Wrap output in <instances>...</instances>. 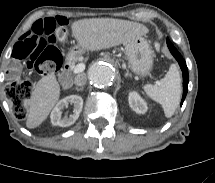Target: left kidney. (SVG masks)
<instances>
[{
    "label": "left kidney",
    "mask_w": 215,
    "mask_h": 183,
    "mask_svg": "<svg viewBox=\"0 0 215 183\" xmlns=\"http://www.w3.org/2000/svg\"><path fill=\"white\" fill-rule=\"evenodd\" d=\"M129 105L133 111L138 114H144L147 111L146 102L140 97L137 92H130L128 96Z\"/></svg>",
    "instance_id": "5707ae66"
}]
</instances>
